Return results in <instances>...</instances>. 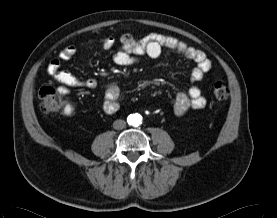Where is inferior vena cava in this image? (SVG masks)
<instances>
[{
  "label": "inferior vena cava",
  "instance_id": "obj_1",
  "mask_svg": "<svg viewBox=\"0 0 277 218\" xmlns=\"http://www.w3.org/2000/svg\"><path fill=\"white\" fill-rule=\"evenodd\" d=\"M125 121H117L116 122V125H117V127H123V126H125Z\"/></svg>",
  "mask_w": 277,
  "mask_h": 218
}]
</instances>
